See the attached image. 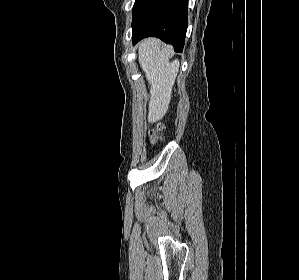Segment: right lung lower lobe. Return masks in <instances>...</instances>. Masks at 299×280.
I'll list each match as a JSON object with an SVG mask.
<instances>
[{"label":"right lung lower lobe","mask_w":299,"mask_h":280,"mask_svg":"<svg viewBox=\"0 0 299 280\" xmlns=\"http://www.w3.org/2000/svg\"><path fill=\"white\" fill-rule=\"evenodd\" d=\"M188 0H136L132 14V41L158 37L181 52L188 24Z\"/></svg>","instance_id":"1"}]
</instances>
